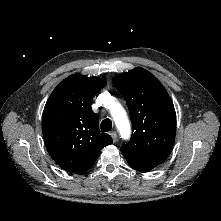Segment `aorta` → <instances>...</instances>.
<instances>
[{"instance_id": "1", "label": "aorta", "mask_w": 221, "mask_h": 221, "mask_svg": "<svg viewBox=\"0 0 221 221\" xmlns=\"http://www.w3.org/2000/svg\"><path fill=\"white\" fill-rule=\"evenodd\" d=\"M112 117L121 136L123 138H128L131 132L130 123L127 118L126 112L120 105H116V107L113 109Z\"/></svg>"}]
</instances>
